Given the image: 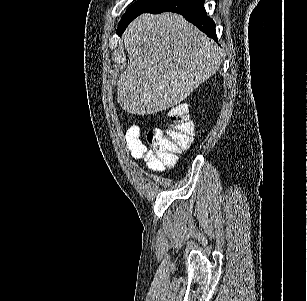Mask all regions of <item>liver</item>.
I'll list each match as a JSON object with an SVG mask.
<instances>
[{"label":"liver","mask_w":307,"mask_h":301,"mask_svg":"<svg viewBox=\"0 0 307 301\" xmlns=\"http://www.w3.org/2000/svg\"><path fill=\"white\" fill-rule=\"evenodd\" d=\"M128 64L117 100L131 114H153L180 104L220 68L223 52L181 14H140L123 36Z\"/></svg>","instance_id":"liver-1"}]
</instances>
